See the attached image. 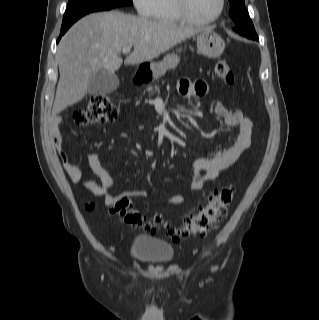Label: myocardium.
Wrapping results in <instances>:
<instances>
[{
	"mask_svg": "<svg viewBox=\"0 0 319 320\" xmlns=\"http://www.w3.org/2000/svg\"><path fill=\"white\" fill-rule=\"evenodd\" d=\"M188 3H189L188 0H174V5L178 14L182 17V19L185 22L194 24V25H207V24H211L218 21L223 15L225 6H226L225 0H219V9L216 15H214L209 19H197L190 12Z\"/></svg>",
	"mask_w": 319,
	"mask_h": 320,
	"instance_id": "f54148a6",
	"label": "myocardium"
}]
</instances>
